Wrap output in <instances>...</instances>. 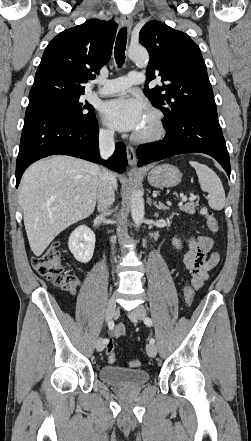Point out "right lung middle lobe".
I'll use <instances>...</instances> for the list:
<instances>
[{
  "label": "right lung middle lobe",
  "mask_w": 251,
  "mask_h": 441,
  "mask_svg": "<svg viewBox=\"0 0 251 441\" xmlns=\"http://www.w3.org/2000/svg\"><path fill=\"white\" fill-rule=\"evenodd\" d=\"M81 95H55L29 102L28 107L37 108L64 116L76 123L85 124L94 120V107L82 102Z\"/></svg>",
  "instance_id": "right-lung-middle-lobe-1"
}]
</instances>
